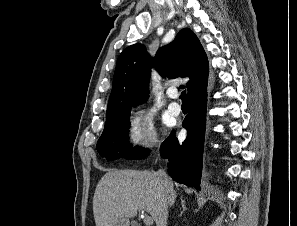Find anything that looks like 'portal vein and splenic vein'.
<instances>
[{
  "mask_svg": "<svg viewBox=\"0 0 297 226\" xmlns=\"http://www.w3.org/2000/svg\"><path fill=\"white\" fill-rule=\"evenodd\" d=\"M141 218L144 219V223L146 225H150L153 223L152 218L150 216H148L144 211H142V213H141Z\"/></svg>",
  "mask_w": 297,
  "mask_h": 226,
  "instance_id": "18ae733b",
  "label": "portal vein and splenic vein"
}]
</instances>
